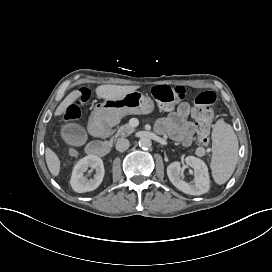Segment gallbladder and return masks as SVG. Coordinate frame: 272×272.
Listing matches in <instances>:
<instances>
[{
	"mask_svg": "<svg viewBox=\"0 0 272 272\" xmlns=\"http://www.w3.org/2000/svg\"><path fill=\"white\" fill-rule=\"evenodd\" d=\"M61 135L66 143L74 146L84 144L87 139L85 129L82 126L74 123L63 126Z\"/></svg>",
	"mask_w": 272,
	"mask_h": 272,
	"instance_id": "1",
	"label": "gallbladder"
}]
</instances>
